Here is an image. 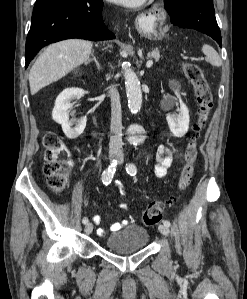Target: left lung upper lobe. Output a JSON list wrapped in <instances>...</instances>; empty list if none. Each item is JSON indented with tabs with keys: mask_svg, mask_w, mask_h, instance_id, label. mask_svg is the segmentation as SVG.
Masks as SVG:
<instances>
[{
	"mask_svg": "<svg viewBox=\"0 0 247 299\" xmlns=\"http://www.w3.org/2000/svg\"><path fill=\"white\" fill-rule=\"evenodd\" d=\"M177 0H164L165 5H173ZM212 1V0H209Z\"/></svg>",
	"mask_w": 247,
	"mask_h": 299,
	"instance_id": "obj_1",
	"label": "left lung upper lobe"
}]
</instances>
